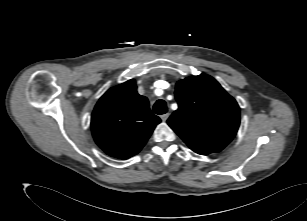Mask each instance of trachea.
Wrapping results in <instances>:
<instances>
[{
  "instance_id": "obj_1",
  "label": "trachea",
  "mask_w": 307,
  "mask_h": 221,
  "mask_svg": "<svg viewBox=\"0 0 307 221\" xmlns=\"http://www.w3.org/2000/svg\"><path fill=\"white\" fill-rule=\"evenodd\" d=\"M154 113L158 115L165 114L167 112L166 102L164 100H158L153 106Z\"/></svg>"
}]
</instances>
